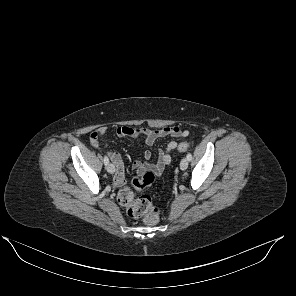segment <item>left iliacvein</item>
Here are the masks:
<instances>
[{
    "instance_id": "4c4485c4",
    "label": "left iliac vein",
    "mask_w": 296,
    "mask_h": 296,
    "mask_svg": "<svg viewBox=\"0 0 296 296\" xmlns=\"http://www.w3.org/2000/svg\"><path fill=\"white\" fill-rule=\"evenodd\" d=\"M188 167V159L187 158H183L180 162V169L181 170H186Z\"/></svg>"
}]
</instances>
